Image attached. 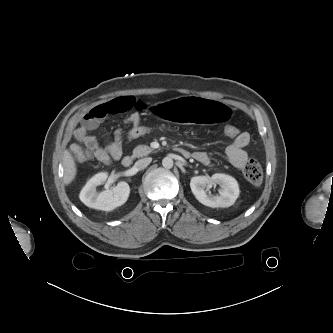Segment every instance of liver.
<instances>
[{"label":"liver","instance_id":"1","mask_svg":"<svg viewBox=\"0 0 333 333\" xmlns=\"http://www.w3.org/2000/svg\"><path fill=\"white\" fill-rule=\"evenodd\" d=\"M63 165H64V183L70 184L77 174L76 163L72 154L65 150L63 154Z\"/></svg>","mask_w":333,"mask_h":333}]
</instances>
